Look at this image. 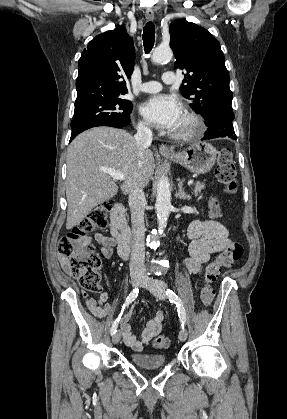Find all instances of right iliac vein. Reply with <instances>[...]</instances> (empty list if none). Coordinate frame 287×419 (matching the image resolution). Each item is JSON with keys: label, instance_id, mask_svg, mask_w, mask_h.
<instances>
[{"label": "right iliac vein", "instance_id": "right-iliac-vein-1", "mask_svg": "<svg viewBox=\"0 0 287 419\" xmlns=\"http://www.w3.org/2000/svg\"><path fill=\"white\" fill-rule=\"evenodd\" d=\"M142 282V278L139 276H132L131 277V284L133 287H137ZM121 339V331L118 330L115 334L112 336V341L114 344H117Z\"/></svg>", "mask_w": 287, "mask_h": 419}]
</instances>
